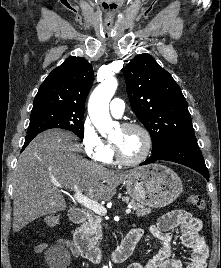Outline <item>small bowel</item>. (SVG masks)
Masks as SVG:
<instances>
[{"instance_id":"c3829d8e","label":"small bowel","mask_w":221,"mask_h":268,"mask_svg":"<svg viewBox=\"0 0 221 268\" xmlns=\"http://www.w3.org/2000/svg\"><path fill=\"white\" fill-rule=\"evenodd\" d=\"M178 229L181 242L187 252L186 261L172 257L174 234L172 230ZM202 222L197 217L185 210H173L162 215L156 224L149 226L148 231L161 242L159 251L147 263H132L127 268H206L209 248L206 239L201 235ZM140 236L144 231L135 229ZM74 255L78 252L69 240H61ZM48 247L47 243L36 246L37 253L43 252Z\"/></svg>"}]
</instances>
